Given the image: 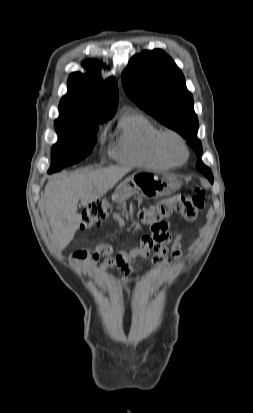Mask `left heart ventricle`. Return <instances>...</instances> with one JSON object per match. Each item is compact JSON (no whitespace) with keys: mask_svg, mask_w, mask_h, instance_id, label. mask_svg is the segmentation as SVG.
<instances>
[{"mask_svg":"<svg viewBox=\"0 0 253 413\" xmlns=\"http://www.w3.org/2000/svg\"><path fill=\"white\" fill-rule=\"evenodd\" d=\"M171 152L177 160L183 159V156H184L183 151L177 142L171 143Z\"/></svg>","mask_w":253,"mask_h":413,"instance_id":"b2bd125f","label":"left heart ventricle"}]
</instances>
